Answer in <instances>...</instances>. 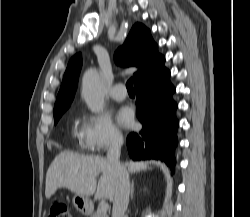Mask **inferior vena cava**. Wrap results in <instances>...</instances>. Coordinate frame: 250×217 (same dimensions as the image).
Masks as SVG:
<instances>
[{
    "instance_id": "inferior-vena-cava-1",
    "label": "inferior vena cava",
    "mask_w": 250,
    "mask_h": 217,
    "mask_svg": "<svg viewBox=\"0 0 250 217\" xmlns=\"http://www.w3.org/2000/svg\"><path fill=\"white\" fill-rule=\"evenodd\" d=\"M123 138L116 136L111 141L107 152V161L115 176V194L113 199L112 217H125L129 203L130 182L126 168L120 164V152Z\"/></svg>"
}]
</instances>
